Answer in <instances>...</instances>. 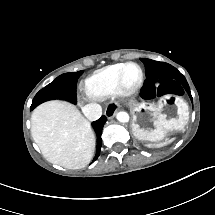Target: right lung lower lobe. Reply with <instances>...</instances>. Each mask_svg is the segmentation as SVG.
Returning <instances> with one entry per match:
<instances>
[{
  "mask_svg": "<svg viewBox=\"0 0 215 215\" xmlns=\"http://www.w3.org/2000/svg\"><path fill=\"white\" fill-rule=\"evenodd\" d=\"M106 121H107V118L105 116H102L100 119H98L97 121H94L92 123L93 128L95 129L96 134H97V152H96V155H95L93 161H95L100 154L101 142H102L101 133H102V129H103V126Z\"/></svg>",
  "mask_w": 215,
  "mask_h": 215,
  "instance_id": "right-lung-lower-lobe-1",
  "label": "right lung lower lobe"
}]
</instances>
